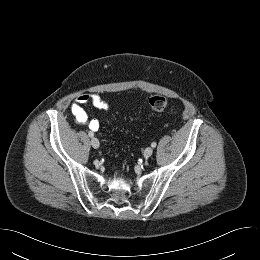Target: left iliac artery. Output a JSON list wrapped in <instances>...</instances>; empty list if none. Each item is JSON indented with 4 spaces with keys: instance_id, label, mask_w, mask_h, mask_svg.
<instances>
[{
    "instance_id": "1",
    "label": "left iliac artery",
    "mask_w": 260,
    "mask_h": 260,
    "mask_svg": "<svg viewBox=\"0 0 260 260\" xmlns=\"http://www.w3.org/2000/svg\"><path fill=\"white\" fill-rule=\"evenodd\" d=\"M156 142H153L152 144H151V146L153 147V148H155L156 147Z\"/></svg>"
}]
</instances>
